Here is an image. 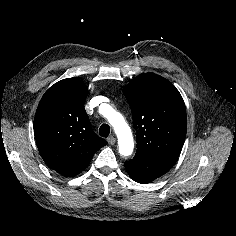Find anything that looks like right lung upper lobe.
<instances>
[{
	"label": "right lung upper lobe",
	"instance_id": "1",
	"mask_svg": "<svg viewBox=\"0 0 236 236\" xmlns=\"http://www.w3.org/2000/svg\"><path fill=\"white\" fill-rule=\"evenodd\" d=\"M87 94L88 88L78 78L61 80L45 92L34 117L40 155L64 177L83 171L107 144L91 128L84 108Z\"/></svg>",
	"mask_w": 236,
	"mask_h": 236
}]
</instances>
